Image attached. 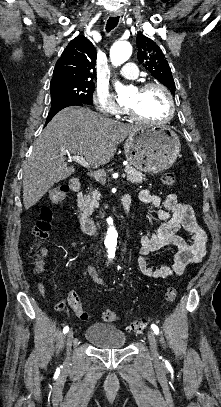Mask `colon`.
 Returning <instances> with one entry per match:
<instances>
[{
    "mask_svg": "<svg viewBox=\"0 0 221 407\" xmlns=\"http://www.w3.org/2000/svg\"><path fill=\"white\" fill-rule=\"evenodd\" d=\"M176 174L173 171H167L165 172L162 177H161V183L165 186H170L173 185L176 182ZM68 191L67 186H59V187H53L49 189L48 191V196L50 200L54 204H60L64 201L66 193ZM52 214L51 211L44 208L42 210V217L41 220L37 222L33 229V234L36 238H45L47 237L51 225L49 222V219L51 218ZM46 251L44 249H40L35 257L34 260V265L37 269L42 268L44 264V257H45ZM177 295V290L173 286H168L166 291H165V297L168 302H173L176 298ZM70 305L75 313V315L80 319V320H87L89 315L88 313L83 309L81 306L80 302L75 298L72 302H70ZM102 318L105 322L108 323H113L118 320V314L115 310L112 309H105L102 312ZM146 328V323L144 320H134L132 321L129 326L128 330L131 332H134L136 334H141Z\"/></svg>",
    "mask_w": 221,
    "mask_h": 407,
    "instance_id": "obj_1",
    "label": "colon"
}]
</instances>
